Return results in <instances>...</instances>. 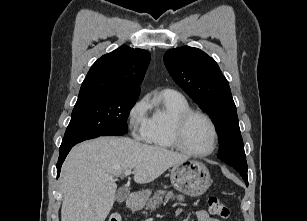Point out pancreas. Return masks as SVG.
<instances>
[{
  "instance_id": "obj_1",
  "label": "pancreas",
  "mask_w": 307,
  "mask_h": 221,
  "mask_svg": "<svg viewBox=\"0 0 307 221\" xmlns=\"http://www.w3.org/2000/svg\"><path fill=\"white\" fill-rule=\"evenodd\" d=\"M163 197L165 202H168L170 199H177L178 201L184 200V197L181 195H174L172 191L158 190L154 193L153 197L148 200L145 209L146 210H155V208L163 202Z\"/></svg>"
}]
</instances>
